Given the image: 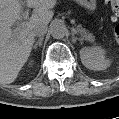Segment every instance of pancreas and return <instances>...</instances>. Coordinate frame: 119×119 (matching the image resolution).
Instances as JSON below:
<instances>
[{
  "label": "pancreas",
  "mask_w": 119,
  "mask_h": 119,
  "mask_svg": "<svg viewBox=\"0 0 119 119\" xmlns=\"http://www.w3.org/2000/svg\"><path fill=\"white\" fill-rule=\"evenodd\" d=\"M77 31L81 34L82 38L88 40L89 42L94 43L95 37L92 33L87 32L86 29L82 28L81 26L77 27Z\"/></svg>",
  "instance_id": "cf45deb5"
}]
</instances>
